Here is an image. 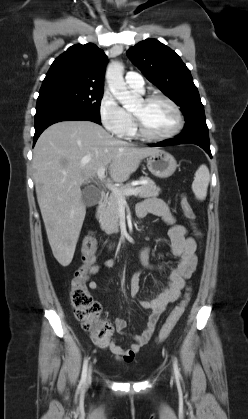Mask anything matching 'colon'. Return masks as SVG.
<instances>
[{
	"label": "colon",
	"instance_id": "obj_1",
	"mask_svg": "<svg viewBox=\"0 0 248 419\" xmlns=\"http://www.w3.org/2000/svg\"><path fill=\"white\" fill-rule=\"evenodd\" d=\"M181 209L191 221L195 219L194 210L186 198L181 200ZM97 250V240L91 233L87 234L82 243V264L76 270L70 281V300L74 307L76 319L81 323L82 328L91 334L92 340L97 345L108 343L113 334V327L110 323L99 320L100 305L90 296L86 282L90 268L94 263ZM189 293L187 292L182 301L173 309L165 324L160 329L156 342H163L183 315Z\"/></svg>",
	"mask_w": 248,
	"mask_h": 419
}]
</instances>
